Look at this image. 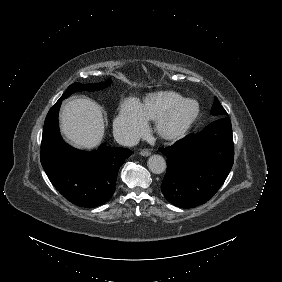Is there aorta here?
I'll list each match as a JSON object with an SVG mask.
<instances>
[{
    "mask_svg": "<svg viewBox=\"0 0 282 282\" xmlns=\"http://www.w3.org/2000/svg\"><path fill=\"white\" fill-rule=\"evenodd\" d=\"M147 166L152 173L160 174L166 169V162L161 155L153 154L148 158Z\"/></svg>",
    "mask_w": 282,
    "mask_h": 282,
    "instance_id": "aorta-1",
    "label": "aorta"
}]
</instances>
